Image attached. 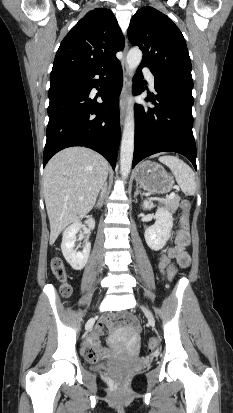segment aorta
<instances>
[{"label":"aorta","instance_id":"aorta-1","mask_svg":"<svg viewBox=\"0 0 233 413\" xmlns=\"http://www.w3.org/2000/svg\"><path fill=\"white\" fill-rule=\"evenodd\" d=\"M142 60V51L135 47L127 54V65L131 74L137 69ZM135 119L133 104L130 101L124 123L121 150H120V172L123 178L128 177L133 160L134 152Z\"/></svg>","mask_w":233,"mask_h":413}]
</instances>
